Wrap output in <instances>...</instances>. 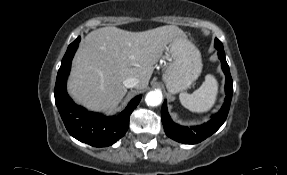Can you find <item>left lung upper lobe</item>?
Segmentation results:
<instances>
[{
	"label": "left lung upper lobe",
	"mask_w": 287,
	"mask_h": 175,
	"mask_svg": "<svg viewBox=\"0 0 287 175\" xmlns=\"http://www.w3.org/2000/svg\"><path fill=\"white\" fill-rule=\"evenodd\" d=\"M215 47H216L217 49H223L222 43H221L220 40H218L217 38L215 39Z\"/></svg>",
	"instance_id": "obj_1"
}]
</instances>
